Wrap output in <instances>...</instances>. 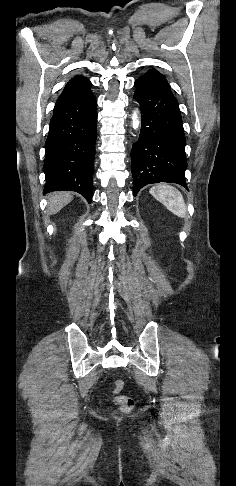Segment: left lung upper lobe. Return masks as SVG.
<instances>
[{
    "label": "left lung upper lobe",
    "instance_id": "left-lung-upper-lobe-1",
    "mask_svg": "<svg viewBox=\"0 0 236 486\" xmlns=\"http://www.w3.org/2000/svg\"><path fill=\"white\" fill-rule=\"evenodd\" d=\"M142 77H145L149 80L155 81V82L163 85L164 87L170 89V85L168 84L166 78L160 72H158L155 69H151V70L147 71Z\"/></svg>",
    "mask_w": 236,
    "mask_h": 486
}]
</instances>
